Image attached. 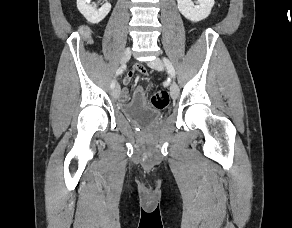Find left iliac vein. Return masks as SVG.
<instances>
[{"instance_id": "left-iliac-vein-1", "label": "left iliac vein", "mask_w": 292, "mask_h": 228, "mask_svg": "<svg viewBox=\"0 0 292 228\" xmlns=\"http://www.w3.org/2000/svg\"><path fill=\"white\" fill-rule=\"evenodd\" d=\"M148 66L158 71H162L164 68V64L160 58H155L153 61L148 62ZM170 95L173 99H176L179 95V87L174 81L170 84Z\"/></svg>"}]
</instances>
